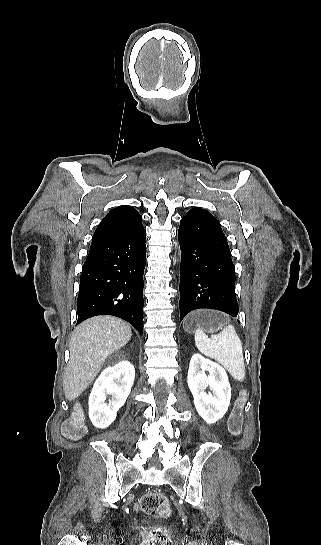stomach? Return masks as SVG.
Listing matches in <instances>:
<instances>
[{"label": "stomach", "instance_id": "0dacf381", "mask_svg": "<svg viewBox=\"0 0 321 545\" xmlns=\"http://www.w3.org/2000/svg\"><path fill=\"white\" fill-rule=\"evenodd\" d=\"M183 327L187 333H195L197 329H206L210 333H216L223 327L221 315L216 311H194L187 315Z\"/></svg>", "mask_w": 321, "mask_h": 545}]
</instances>
